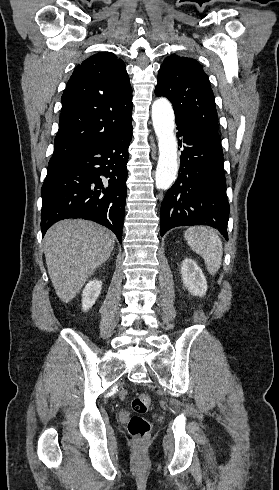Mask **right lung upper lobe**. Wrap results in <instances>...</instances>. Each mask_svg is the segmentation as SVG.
<instances>
[{
	"instance_id": "cb5924a9",
	"label": "right lung upper lobe",
	"mask_w": 279,
	"mask_h": 490,
	"mask_svg": "<svg viewBox=\"0 0 279 490\" xmlns=\"http://www.w3.org/2000/svg\"><path fill=\"white\" fill-rule=\"evenodd\" d=\"M132 89L125 64L110 52L79 64L62 96L49 164L90 149L132 126Z\"/></svg>"
}]
</instances>
